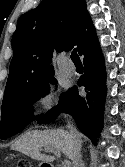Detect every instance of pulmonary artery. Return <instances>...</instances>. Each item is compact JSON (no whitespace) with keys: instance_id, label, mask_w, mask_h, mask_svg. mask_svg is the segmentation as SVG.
Masks as SVG:
<instances>
[{"instance_id":"obj_1","label":"pulmonary artery","mask_w":125,"mask_h":167,"mask_svg":"<svg viewBox=\"0 0 125 167\" xmlns=\"http://www.w3.org/2000/svg\"><path fill=\"white\" fill-rule=\"evenodd\" d=\"M59 70L66 77H72L75 74V67H67L63 60L59 62Z\"/></svg>"}]
</instances>
